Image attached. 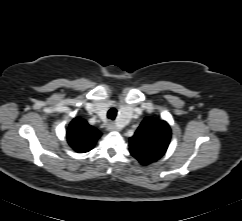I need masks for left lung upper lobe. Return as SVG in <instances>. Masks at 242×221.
I'll return each instance as SVG.
<instances>
[{
    "label": "left lung upper lobe",
    "instance_id": "left-lung-upper-lobe-1",
    "mask_svg": "<svg viewBox=\"0 0 242 221\" xmlns=\"http://www.w3.org/2000/svg\"><path fill=\"white\" fill-rule=\"evenodd\" d=\"M171 130L165 121L146 117L130 138V153L148 165L162 157L169 145Z\"/></svg>",
    "mask_w": 242,
    "mask_h": 221
}]
</instances>
